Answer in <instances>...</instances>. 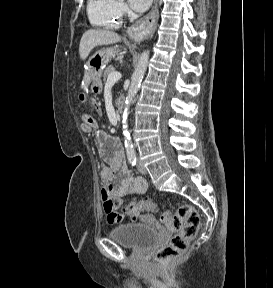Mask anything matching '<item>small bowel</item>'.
I'll return each instance as SVG.
<instances>
[{
    "mask_svg": "<svg viewBox=\"0 0 273 288\" xmlns=\"http://www.w3.org/2000/svg\"><path fill=\"white\" fill-rule=\"evenodd\" d=\"M81 120V129L85 133L92 132L98 126L96 119L90 114H83ZM97 142L104 160L101 170V179L105 183V187L101 190L103 208L110 224L120 223L125 217L118 212L121 199L130 194L145 193L147 184L142 177H134L129 171L118 139L98 132Z\"/></svg>",
    "mask_w": 273,
    "mask_h": 288,
    "instance_id": "obj_1",
    "label": "small bowel"
}]
</instances>
